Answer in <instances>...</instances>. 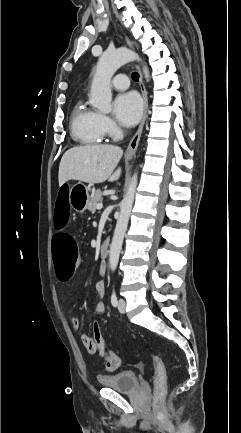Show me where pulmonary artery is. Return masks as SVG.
<instances>
[{"label": "pulmonary artery", "instance_id": "1", "mask_svg": "<svg viewBox=\"0 0 241 433\" xmlns=\"http://www.w3.org/2000/svg\"><path fill=\"white\" fill-rule=\"evenodd\" d=\"M112 85L117 90H124V89L128 88V86H129L128 77L124 74L117 75L113 79Z\"/></svg>", "mask_w": 241, "mask_h": 433}]
</instances>
